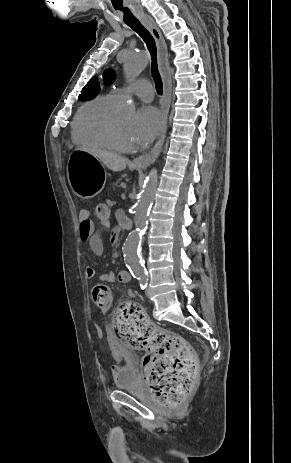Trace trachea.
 <instances>
[{
  "label": "trachea",
  "mask_w": 291,
  "mask_h": 463,
  "mask_svg": "<svg viewBox=\"0 0 291 463\" xmlns=\"http://www.w3.org/2000/svg\"><path fill=\"white\" fill-rule=\"evenodd\" d=\"M127 25L135 32H137L147 45L152 59V76L155 82L157 93L161 95L163 93V84L157 66V48L154 37L139 21L130 22L127 23Z\"/></svg>",
  "instance_id": "3493384b"
}]
</instances>
